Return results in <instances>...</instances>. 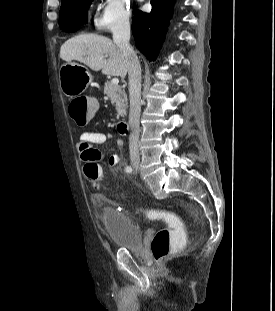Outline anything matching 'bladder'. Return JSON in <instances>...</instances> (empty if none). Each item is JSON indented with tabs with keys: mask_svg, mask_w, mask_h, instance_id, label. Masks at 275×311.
<instances>
[{
	"mask_svg": "<svg viewBox=\"0 0 275 311\" xmlns=\"http://www.w3.org/2000/svg\"><path fill=\"white\" fill-rule=\"evenodd\" d=\"M100 219L114 247L125 249L142 247L143 231L127 213L101 208Z\"/></svg>",
	"mask_w": 275,
	"mask_h": 311,
	"instance_id": "obj_1",
	"label": "bladder"
}]
</instances>
